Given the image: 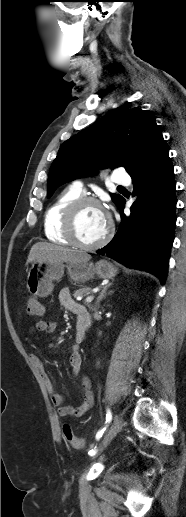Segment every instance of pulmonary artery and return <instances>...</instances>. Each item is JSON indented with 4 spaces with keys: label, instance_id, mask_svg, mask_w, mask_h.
<instances>
[{
    "label": "pulmonary artery",
    "instance_id": "obj_1",
    "mask_svg": "<svg viewBox=\"0 0 186 517\" xmlns=\"http://www.w3.org/2000/svg\"><path fill=\"white\" fill-rule=\"evenodd\" d=\"M112 181L118 185H128L131 182V178L124 170L117 169L112 175ZM73 187L81 193L84 191L83 186L79 181L74 182Z\"/></svg>",
    "mask_w": 186,
    "mask_h": 517
}]
</instances>
